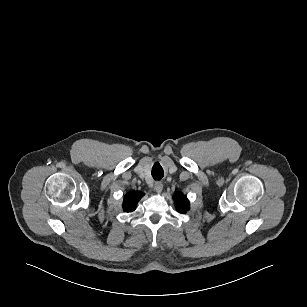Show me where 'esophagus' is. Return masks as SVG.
<instances>
[{"instance_id":"34e87169","label":"esophagus","mask_w":307,"mask_h":307,"mask_svg":"<svg viewBox=\"0 0 307 307\" xmlns=\"http://www.w3.org/2000/svg\"><path fill=\"white\" fill-rule=\"evenodd\" d=\"M162 189H163V184L161 182H155L154 184V190L157 192V193H161L162 192Z\"/></svg>"}]
</instances>
